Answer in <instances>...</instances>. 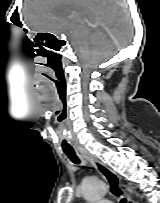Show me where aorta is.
<instances>
[{
    "label": "aorta",
    "mask_w": 160,
    "mask_h": 203,
    "mask_svg": "<svg viewBox=\"0 0 160 203\" xmlns=\"http://www.w3.org/2000/svg\"><path fill=\"white\" fill-rule=\"evenodd\" d=\"M106 191V184L99 180H86L82 184V195L89 202L100 200Z\"/></svg>",
    "instance_id": "obj_1"
}]
</instances>
